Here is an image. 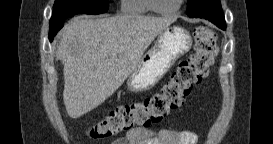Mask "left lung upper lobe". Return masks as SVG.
I'll use <instances>...</instances> for the list:
<instances>
[{"instance_id": "5c2ea615", "label": "left lung upper lobe", "mask_w": 273, "mask_h": 144, "mask_svg": "<svg viewBox=\"0 0 273 144\" xmlns=\"http://www.w3.org/2000/svg\"><path fill=\"white\" fill-rule=\"evenodd\" d=\"M205 0H188L187 13L189 17H196L202 11H206L211 6L221 8L220 0H212L206 3Z\"/></svg>"}]
</instances>
